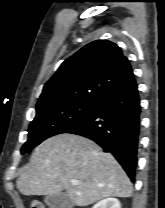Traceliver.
<instances>
[{"label": "liver", "mask_w": 165, "mask_h": 208, "mask_svg": "<svg viewBox=\"0 0 165 208\" xmlns=\"http://www.w3.org/2000/svg\"><path fill=\"white\" fill-rule=\"evenodd\" d=\"M78 181L73 185L72 181ZM17 188L21 194L53 195L66 191L79 207L103 198L132 195V183L116 159L90 139L59 134L36 147L22 170Z\"/></svg>", "instance_id": "liver-1"}]
</instances>
